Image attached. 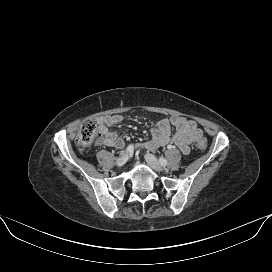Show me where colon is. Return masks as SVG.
Here are the masks:
<instances>
[{"mask_svg":"<svg viewBox=\"0 0 272 272\" xmlns=\"http://www.w3.org/2000/svg\"><path fill=\"white\" fill-rule=\"evenodd\" d=\"M98 135L96 122L93 119H87L80 126L76 136V143L81 148H89L96 142ZM197 147L201 150L206 149L207 141L205 139L200 140Z\"/></svg>","mask_w":272,"mask_h":272,"instance_id":"colon-1","label":"colon"}]
</instances>
